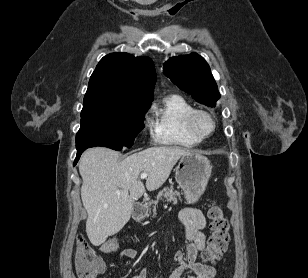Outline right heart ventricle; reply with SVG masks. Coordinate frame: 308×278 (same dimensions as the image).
Returning a JSON list of instances; mask_svg holds the SVG:
<instances>
[{"instance_id":"right-heart-ventricle-1","label":"right heart ventricle","mask_w":308,"mask_h":278,"mask_svg":"<svg viewBox=\"0 0 308 278\" xmlns=\"http://www.w3.org/2000/svg\"><path fill=\"white\" fill-rule=\"evenodd\" d=\"M194 107L180 95H168L153 111V130L157 142L164 145L193 147L200 140L192 136L185 125V117Z\"/></svg>"}]
</instances>
